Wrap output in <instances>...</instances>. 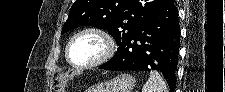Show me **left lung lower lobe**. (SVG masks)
Here are the masks:
<instances>
[{
	"label": "left lung lower lobe",
	"mask_w": 225,
	"mask_h": 92,
	"mask_svg": "<svg viewBox=\"0 0 225 92\" xmlns=\"http://www.w3.org/2000/svg\"><path fill=\"white\" fill-rule=\"evenodd\" d=\"M180 46L178 10L172 0L152 13L117 53L99 66L107 70H157L171 91L176 86L175 72Z\"/></svg>",
	"instance_id": "1"
}]
</instances>
